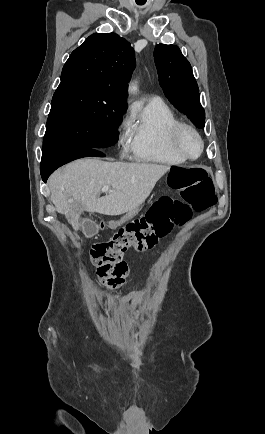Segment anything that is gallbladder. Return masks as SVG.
<instances>
[{"mask_svg": "<svg viewBox=\"0 0 265 434\" xmlns=\"http://www.w3.org/2000/svg\"><path fill=\"white\" fill-rule=\"evenodd\" d=\"M80 230L84 232L86 238H91L98 232V228L92 218L86 219L85 224L80 225Z\"/></svg>", "mask_w": 265, "mask_h": 434, "instance_id": "1", "label": "gallbladder"}]
</instances>
